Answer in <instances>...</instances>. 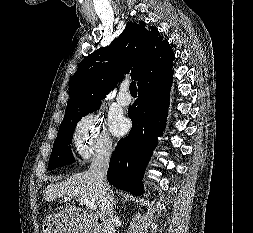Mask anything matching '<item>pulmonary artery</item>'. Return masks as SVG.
Returning <instances> with one entry per match:
<instances>
[{"mask_svg": "<svg viewBox=\"0 0 253 233\" xmlns=\"http://www.w3.org/2000/svg\"><path fill=\"white\" fill-rule=\"evenodd\" d=\"M128 86L126 84H123L121 86L120 92L117 94L116 100L119 105L121 106H128L131 104V97L127 92Z\"/></svg>", "mask_w": 253, "mask_h": 233, "instance_id": "e3ab8cb5", "label": "pulmonary artery"}]
</instances>
